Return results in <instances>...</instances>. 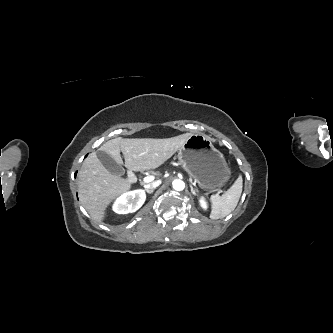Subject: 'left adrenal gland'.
<instances>
[{"label": "left adrenal gland", "instance_id": "a2214340", "mask_svg": "<svg viewBox=\"0 0 333 333\" xmlns=\"http://www.w3.org/2000/svg\"><path fill=\"white\" fill-rule=\"evenodd\" d=\"M190 188H191V192H192V194L193 195H196V191H195V189L193 188V186L190 184Z\"/></svg>", "mask_w": 333, "mask_h": 333}]
</instances>
